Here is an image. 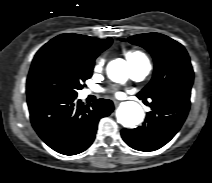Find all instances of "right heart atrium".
I'll list each match as a JSON object with an SVG mask.
<instances>
[{
	"label": "right heart atrium",
	"mask_w": 212,
	"mask_h": 183,
	"mask_svg": "<svg viewBox=\"0 0 212 183\" xmlns=\"http://www.w3.org/2000/svg\"><path fill=\"white\" fill-rule=\"evenodd\" d=\"M103 64H104V59L103 58H100L96 64H95V71H100L103 67Z\"/></svg>",
	"instance_id": "1"
}]
</instances>
